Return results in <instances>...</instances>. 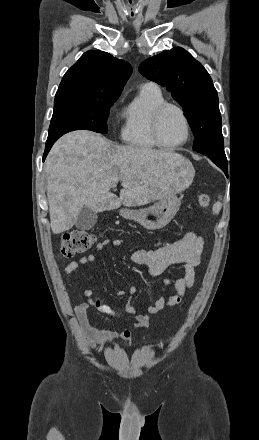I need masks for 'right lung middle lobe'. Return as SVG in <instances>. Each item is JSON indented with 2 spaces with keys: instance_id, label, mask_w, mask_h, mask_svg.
<instances>
[{
  "instance_id": "obj_1",
  "label": "right lung middle lobe",
  "mask_w": 259,
  "mask_h": 440,
  "mask_svg": "<svg viewBox=\"0 0 259 440\" xmlns=\"http://www.w3.org/2000/svg\"><path fill=\"white\" fill-rule=\"evenodd\" d=\"M115 99H94L80 96L55 97L48 139H58L73 130L107 133V117Z\"/></svg>"
}]
</instances>
